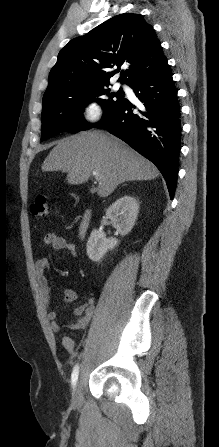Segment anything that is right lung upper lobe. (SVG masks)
<instances>
[{
	"label": "right lung upper lobe",
	"mask_w": 219,
	"mask_h": 447,
	"mask_svg": "<svg viewBox=\"0 0 219 447\" xmlns=\"http://www.w3.org/2000/svg\"><path fill=\"white\" fill-rule=\"evenodd\" d=\"M122 64L129 68L121 72L118 81L130 87L159 74L167 65L155 30L139 14L117 15L72 39L58 54L43 98L83 95L110 84L118 72L110 68Z\"/></svg>",
	"instance_id": "cb5924a9"
}]
</instances>
